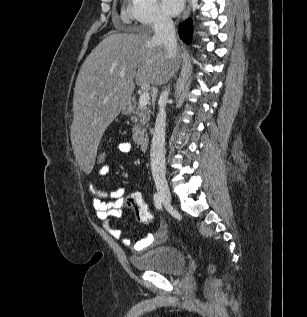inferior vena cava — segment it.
<instances>
[{"mask_svg": "<svg viewBox=\"0 0 307 317\" xmlns=\"http://www.w3.org/2000/svg\"><path fill=\"white\" fill-rule=\"evenodd\" d=\"M155 42L164 45L167 56L175 58L177 54V39L175 27L172 19L160 14L156 18L153 26ZM168 90L162 92L159 100V113L155 121L153 137L150 150L151 171L154 178L165 176V127H166V111L165 106L168 99Z\"/></svg>", "mask_w": 307, "mask_h": 317, "instance_id": "602c4592", "label": "inferior vena cava"}]
</instances>
